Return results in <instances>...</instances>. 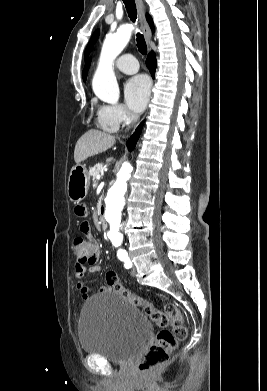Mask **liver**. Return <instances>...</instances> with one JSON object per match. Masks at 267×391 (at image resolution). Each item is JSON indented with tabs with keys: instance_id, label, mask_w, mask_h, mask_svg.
<instances>
[{
	"instance_id": "liver-1",
	"label": "liver",
	"mask_w": 267,
	"mask_h": 391,
	"mask_svg": "<svg viewBox=\"0 0 267 391\" xmlns=\"http://www.w3.org/2000/svg\"><path fill=\"white\" fill-rule=\"evenodd\" d=\"M115 136L100 130H89L83 134L75 145L74 160L77 164L91 156L105 152L115 144Z\"/></svg>"
}]
</instances>
